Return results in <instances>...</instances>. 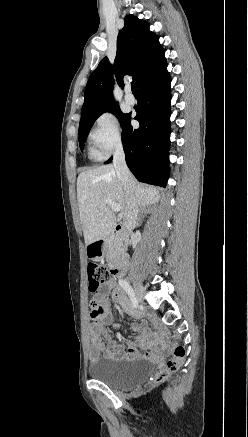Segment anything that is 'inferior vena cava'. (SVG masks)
<instances>
[{"label": "inferior vena cava", "mask_w": 248, "mask_h": 437, "mask_svg": "<svg viewBox=\"0 0 248 437\" xmlns=\"http://www.w3.org/2000/svg\"><path fill=\"white\" fill-rule=\"evenodd\" d=\"M113 165L116 170L117 177L125 188L128 198L127 214L124 218L125 226L128 229L133 228L138 220L139 204L134 192V178L126 165L125 154L121 142H118L115 145Z\"/></svg>", "instance_id": "602c4592"}]
</instances>
